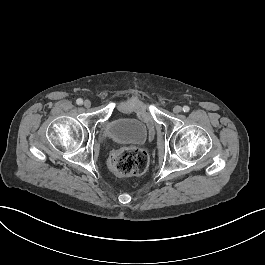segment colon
Masks as SVG:
<instances>
[{
    "mask_svg": "<svg viewBox=\"0 0 265 265\" xmlns=\"http://www.w3.org/2000/svg\"><path fill=\"white\" fill-rule=\"evenodd\" d=\"M149 164V156L140 147H124L114 153L109 159L110 171L120 177L143 174Z\"/></svg>",
    "mask_w": 265,
    "mask_h": 265,
    "instance_id": "5ec220e1",
    "label": "colon"
}]
</instances>
